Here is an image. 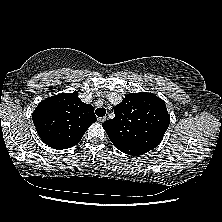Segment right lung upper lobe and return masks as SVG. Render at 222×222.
I'll use <instances>...</instances> for the list:
<instances>
[{
	"label": "right lung upper lobe",
	"instance_id": "cb5924a9",
	"mask_svg": "<svg viewBox=\"0 0 222 222\" xmlns=\"http://www.w3.org/2000/svg\"><path fill=\"white\" fill-rule=\"evenodd\" d=\"M41 140L51 148L67 149L80 142L97 118L78 93H61L41 101L32 114Z\"/></svg>",
	"mask_w": 222,
	"mask_h": 222
}]
</instances>
